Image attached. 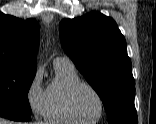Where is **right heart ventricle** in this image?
<instances>
[{
	"mask_svg": "<svg viewBox=\"0 0 156 124\" xmlns=\"http://www.w3.org/2000/svg\"><path fill=\"white\" fill-rule=\"evenodd\" d=\"M56 76L45 90V113L47 121L54 124H84L71 113L67 96L70 88L81 82L80 76L73 65H54Z\"/></svg>",
	"mask_w": 156,
	"mask_h": 124,
	"instance_id": "1",
	"label": "right heart ventricle"
}]
</instances>
